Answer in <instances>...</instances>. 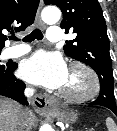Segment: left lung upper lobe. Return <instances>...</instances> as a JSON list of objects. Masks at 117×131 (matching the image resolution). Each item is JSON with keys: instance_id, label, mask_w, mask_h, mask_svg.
Instances as JSON below:
<instances>
[{"instance_id": "5c2ea615", "label": "left lung upper lobe", "mask_w": 117, "mask_h": 131, "mask_svg": "<svg viewBox=\"0 0 117 131\" xmlns=\"http://www.w3.org/2000/svg\"><path fill=\"white\" fill-rule=\"evenodd\" d=\"M46 5H56L63 13L61 28L73 32L76 38L66 41L65 54L86 63L96 71L100 90L108 89L114 101L112 60L109 38L102 9L97 0H44Z\"/></svg>"}]
</instances>
